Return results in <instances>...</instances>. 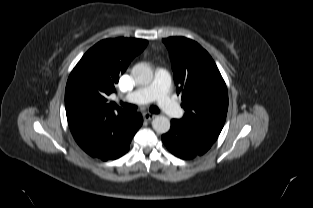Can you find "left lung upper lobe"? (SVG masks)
I'll list each match as a JSON object with an SVG mask.
<instances>
[{
	"instance_id": "1",
	"label": "left lung upper lobe",
	"mask_w": 313,
	"mask_h": 208,
	"mask_svg": "<svg viewBox=\"0 0 313 208\" xmlns=\"http://www.w3.org/2000/svg\"><path fill=\"white\" fill-rule=\"evenodd\" d=\"M171 58L177 94L185 110L179 119L187 128L219 135L226 120L228 92L211 56L185 37L163 39Z\"/></svg>"
}]
</instances>
